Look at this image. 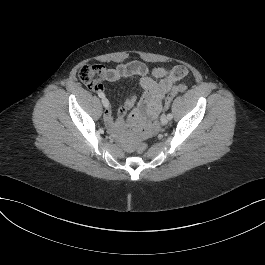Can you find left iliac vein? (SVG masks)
<instances>
[{
	"label": "left iliac vein",
	"instance_id": "left-iliac-vein-1",
	"mask_svg": "<svg viewBox=\"0 0 265 265\" xmlns=\"http://www.w3.org/2000/svg\"><path fill=\"white\" fill-rule=\"evenodd\" d=\"M160 121L163 125H166L168 123L169 119L166 115H162L160 118Z\"/></svg>",
	"mask_w": 265,
	"mask_h": 265
}]
</instances>
